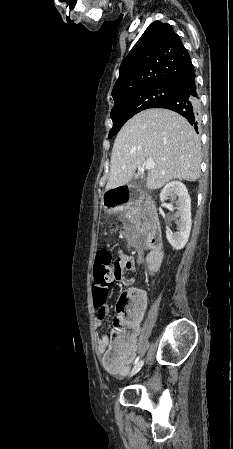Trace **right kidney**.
<instances>
[{"mask_svg": "<svg viewBox=\"0 0 233 449\" xmlns=\"http://www.w3.org/2000/svg\"><path fill=\"white\" fill-rule=\"evenodd\" d=\"M168 197L171 200L178 198L175 201V209L177 210L176 216L179 219L176 221L178 232L172 233L170 230H167L166 237L174 249L181 250L188 242L192 225L191 199L186 186L180 181H172L162 189L160 193L161 202H164Z\"/></svg>", "mask_w": 233, "mask_h": 449, "instance_id": "right-kidney-1", "label": "right kidney"}]
</instances>
